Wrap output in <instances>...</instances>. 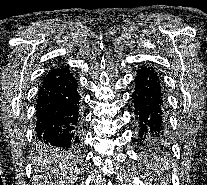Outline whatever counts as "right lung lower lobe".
Segmentation results:
<instances>
[{
    "label": "right lung lower lobe",
    "mask_w": 207,
    "mask_h": 185,
    "mask_svg": "<svg viewBox=\"0 0 207 185\" xmlns=\"http://www.w3.org/2000/svg\"><path fill=\"white\" fill-rule=\"evenodd\" d=\"M81 98L71 74L43 82L36 104L35 138L38 143L70 150L81 136Z\"/></svg>",
    "instance_id": "right-lung-lower-lobe-1"
}]
</instances>
